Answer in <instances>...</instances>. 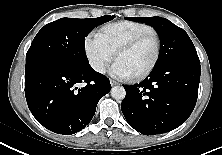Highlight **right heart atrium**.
Instances as JSON below:
<instances>
[{
  "mask_svg": "<svg viewBox=\"0 0 222 155\" xmlns=\"http://www.w3.org/2000/svg\"><path fill=\"white\" fill-rule=\"evenodd\" d=\"M85 52L91 67L103 73L114 59L115 51L105 42L100 33H90L85 39Z\"/></svg>",
  "mask_w": 222,
  "mask_h": 155,
  "instance_id": "d8ad5b80",
  "label": "right heart atrium"
}]
</instances>
